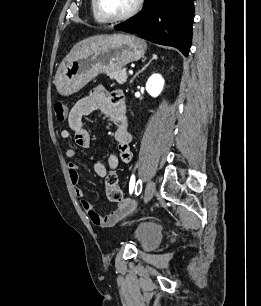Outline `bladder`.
I'll return each instance as SVG.
<instances>
[{"label": "bladder", "mask_w": 261, "mask_h": 306, "mask_svg": "<svg viewBox=\"0 0 261 306\" xmlns=\"http://www.w3.org/2000/svg\"><path fill=\"white\" fill-rule=\"evenodd\" d=\"M134 240L137 247L142 251L154 249L161 241V228L152 222H143L134 231Z\"/></svg>", "instance_id": "31cf9c89"}]
</instances>
